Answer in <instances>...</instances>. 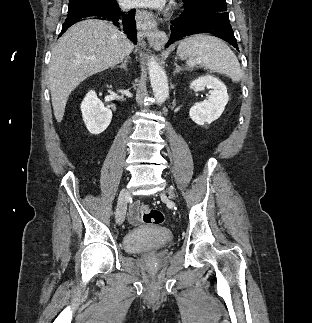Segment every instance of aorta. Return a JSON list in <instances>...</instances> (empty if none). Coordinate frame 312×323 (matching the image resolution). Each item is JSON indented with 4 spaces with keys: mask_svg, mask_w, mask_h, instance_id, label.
Masks as SVG:
<instances>
[{
    "mask_svg": "<svg viewBox=\"0 0 312 323\" xmlns=\"http://www.w3.org/2000/svg\"><path fill=\"white\" fill-rule=\"evenodd\" d=\"M147 66L149 80L153 88L155 100L158 102V104H162V102H165L166 98L169 96L167 76L163 68H161V66H159V64H157L156 60H153V58L148 60Z\"/></svg>",
    "mask_w": 312,
    "mask_h": 323,
    "instance_id": "762f6f07",
    "label": "aorta"
}]
</instances>
